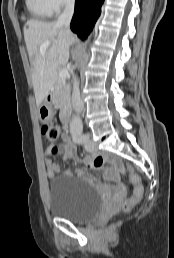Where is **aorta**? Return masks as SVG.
<instances>
[{
    "instance_id": "aorta-1",
    "label": "aorta",
    "mask_w": 174,
    "mask_h": 258,
    "mask_svg": "<svg viewBox=\"0 0 174 258\" xmlns=\"http://www.w3.org/2000/svg\"><path fill=\"white\" fill-rule=\"evenodd\" d=\"M70 128L74 130H82V121L79 116H74L70 123Z\"/></svg>"
}]
</instances>
